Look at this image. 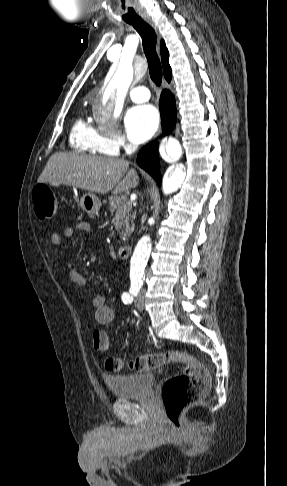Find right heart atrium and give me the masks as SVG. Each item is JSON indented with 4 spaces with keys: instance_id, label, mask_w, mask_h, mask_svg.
<instances>
[{
    "instance_id": "1",
    "label": "right heart atrium",
    "mask_w": 287,
    "mask_h": 486,
    "mask_svg": "<svg viewBox=\"0 0 287 486\" xmlns=\"http://www.w3.org/2000/svg\"><path fill=\"white\" fill-rule=\"evenodd\" d=\"M98 147L103 153L110 155L117 154L121 149L129 150L133 148L132 144L119 133L101 135Z\"/></svg>"
}]
</instances>
